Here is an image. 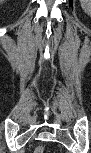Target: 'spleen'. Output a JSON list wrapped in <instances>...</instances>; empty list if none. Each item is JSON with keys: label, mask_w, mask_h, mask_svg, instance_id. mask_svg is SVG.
Masks as SVG:
<instances>
[{"label": "spleen", "mask_w": 91, "mask_h": 153, "mask_svg": "<svg viewBox=\"0 0 91 153\" xmlns=\"http://www.w3.org/2000/svg\"><path fill=\"white\" fill-rule=\"evenodd\" d=\"M81 7L86 13L91 11V1L90 0H81Z\"/></svg>", "instance_id": "obj_1"}]
</instances>
